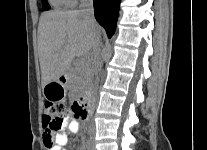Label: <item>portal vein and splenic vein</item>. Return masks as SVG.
Segmentation results:
<instances>
[{
  "label": "portal vein and splenic vein",
  "instance_id": "portal-vein-and-splenic-vein-1",
  "mask_svg": "<svg viewBox=\"0 0 207 150\" xmlns=\"http://www.w3.org/2000/svg\"><path fill=\"white\" fill-rule=\"evenodd\" d=\"M80 62L81 63H86L87 62V59H81Z\"/></svg>",
  "mask_w": 207,
  "mask_h": 150
}]
</instances>
